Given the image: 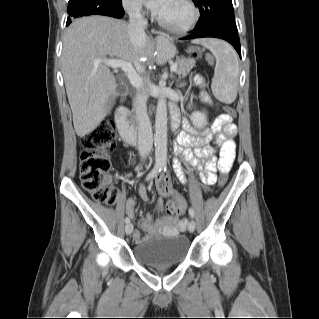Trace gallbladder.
<instances>
[{"label":"gallbladder","instance_id":"bac80fb5","mask_svg":"<svg viewBox=\"0 0 319 319\" xmlns=\"http://www.w3.org/2000/svg\"><path fill=\"white\" fill-rule=\"evenodd\" d=\"M122 91H123V87L119 85V86L117 87L116 93L119 94V93H122ZM113 100H114V97H112L111 100H110V102L108 103V108H110L111 102H112Z\"/></svg>","mask_w":319,"mask_h":319}]
</instances>
